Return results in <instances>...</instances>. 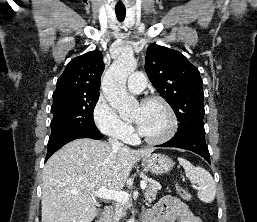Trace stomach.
<instances>
[{
    "instance_id": "1",
    "label": "stomach",
    "mask_w": 257,
    "mask_h": 222,
    "mask_svg": "<svg viewBox=\"0 0 257 222\" xmlns=\"http://www.w3.org/2000/svg\"><path fill=\"white\" fill-rule=\"evenodd\" d=\"M143 164L147 170L156 175L168 173L173 167V161L163 154H153L143 159Z\"/></svg>"
}]
</instances>
